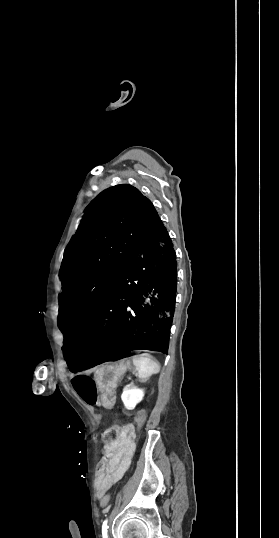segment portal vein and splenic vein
Returning <instances> with one entry per match:
<instances>
[{
    "instance_id": "1",
    "label": "portal vein and splenic vein",
    "mask_w": 279,
    "mask_h": 538,
    "mask_svg": "<svg viewBox=\"0 0 279 538\" xmlns=\"http://www.w3.org/2000/svg\"><path fill=\"white\" fill-rule=\"evenodd\" d=\"M128 379H131V383H134V378H132V376H128Z\"/></svg>"
}]
</instances>
